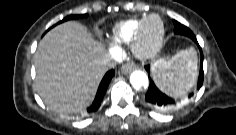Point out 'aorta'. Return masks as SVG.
Returning a JSON list of instances; mask_svg holds the SVG:
<instances>
[{
  "mask_svg": "<svg viewBox=\"0 0 236 135\" xmlns=\"http://www.w3.org/2000/svg\"><path fill=\"white\" fill-rule=\"evenodd\" d=\"M130 82L137 90L141 88H147L149 84L148 76L143 71L132 72L130 75Z\"/></svg>",
  "mask_w": 236,
  "mask_h": 135,
  "instance_id": "762f6f07",
  "label": "aorta"
}]
</instances>
